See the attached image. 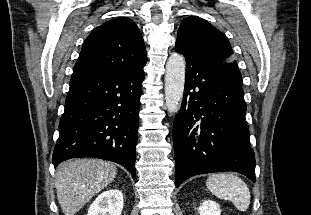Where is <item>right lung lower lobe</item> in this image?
<instances>
[{
	"label": "right lung lower lobe",
	"mask_w": 311,
	"mask_h": 215,
	"mask_svg": "<svg viewBox=\"0 0 311 215\" xmlns=\"http://www.w3.org/2000/svg\"><path fill=\"white\" fill-rule=\"evenodd\" d=\"M143 69L129 74L73 73L60 119L53 164L95 157L124 166L135 178Z\"/></svg>",
	"instance_id": "obj_1"
}]
</instances>
